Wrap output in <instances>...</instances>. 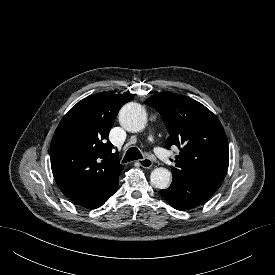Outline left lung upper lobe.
<instances>
[{"mask_svg":"<svg viewBox=\"0 0 275 275\" xmlns=\"http://www.w3.org/2000/svg\"><path fill=\"white\" fill-rule=\"evenodd\" d=\"M145 104L163 118L170 134L166 148L180 149L171 166L173 179L218 190L229 165L228 141L218 118L201 103L170 92L154 94Z\"/></svg>","mask_w":275,"mask_h":275,"instance_id":"5c2ea615","label":"left lung upper lobe"}]
</instances>
